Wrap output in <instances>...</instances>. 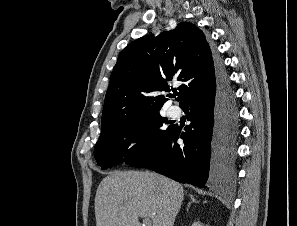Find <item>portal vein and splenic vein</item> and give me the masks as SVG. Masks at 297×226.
<instances>
[{
    "instance_id": "1",
    "label": "portal vein and splenic vein",
    "mask_w": 297,
    "mask_h": 226,
    "mask_svg": "<svg viewBox=\"0 0 297 226\" xmlns=\"http://www.w3.org/2000/svg\"><path fill=\"white\" fill-rule=\"evenodd\" d=\"M144 221H145V223H147V222H149V219H145Z\"/></svg>"
}]
</instances>
